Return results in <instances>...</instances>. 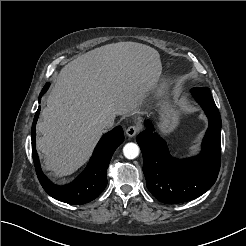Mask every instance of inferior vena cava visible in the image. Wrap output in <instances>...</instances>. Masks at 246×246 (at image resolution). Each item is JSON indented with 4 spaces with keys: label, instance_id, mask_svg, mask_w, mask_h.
I'll return each instance as SVG.
<instances>
[{
    "label": "inferior vena cava",
    "instance_id": "obj_1",
    "mask_svg": "<svg viewBox=\"0 0 246 246\" xmlns=\"http://www.w3.org/2000/svg\"><path fill=\"white\" fill-rule=\"evenodd\" d=\"M115 115L110 114L100 119L99 125L103 129L111 128L114 125Z\"/></svg>",
    "mask_w": 246,
    "mask_h": 246
}]
</instances>
